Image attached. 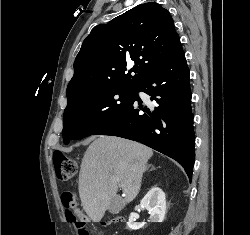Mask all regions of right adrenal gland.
<instances>
[{
    "label": "right adrenal gland",
    "instance_id": "1",
    "mask_svg": "<svg viewBox=\"0 0 250 235\" xmlns=\"http://www.w3.org/2000/svg\"><path fill=\"white\" fill-rule=\"evenodd\" d=\"M149 167H150V166H149ZM154 169H155L154 167L151 168V170H154Z\"/></svg>",
    "mask_w": 250,
    "mask_h": 235
}]
</instances>
